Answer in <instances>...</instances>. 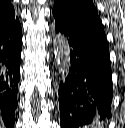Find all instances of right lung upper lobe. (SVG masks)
Instances as JSON below:
<instances>
[{"instance_id": "obj_1", "label": "right lung upper lobe", "mask_w": 125, "mask_h": 128, "mask_svg": "<svg viewBox=\"0 0 125 128\" xmlns=\"http://www.w3.org/2000/svg\"><path fill=\"white\" fill-rule=\"evenodd\" d=\"M18 23L12 4L8 0H0V32Z\"/></svg>"}]
</instances>
